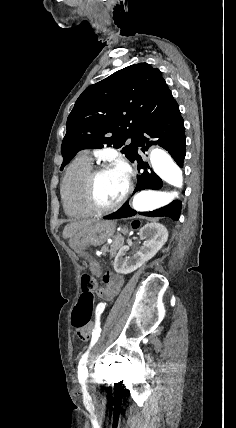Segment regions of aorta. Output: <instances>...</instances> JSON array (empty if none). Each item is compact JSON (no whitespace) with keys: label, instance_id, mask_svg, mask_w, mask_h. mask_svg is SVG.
<instances>
[{"label":"aorta","instance_id":"762f6f07","mask_svg":"<svg viewBox=\"0 0 236 428\" xmlns=\"http://www.w3.org/2000/svg\"><path fill=\"white\" fill-rule=\"evenodd\" d=\"M150 162L157 176L165 182L181 188L182 171L167 152L158 148L152 149ZM177 196V192L141 191L134 196L132 206L136 211L151 212L168 205Z\"/></svg>","mask_w":236,"mask_h":428}]
</instances>
